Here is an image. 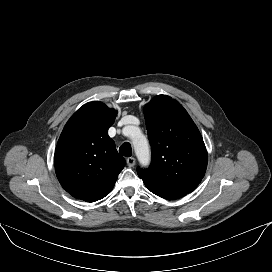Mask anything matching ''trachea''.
Returning a JSON list of instances; mask_svg holds the SVG:
<instances>
[{
	"label": "trachea",
	"mask_w": 272,
	"mask_h": 272,
	"mask_svg": "<svg viewBox=\"0 0 272 272\" xmlns=\"http://www.w3.org/2000/svg\"><path fill=\"white\" fill-rule=\"evenodd\" d=\"M119 153L125 157H130L132 155L130 143L128 142L123 143L119 148Z\"/></svg>",
	"instance_id": "trachea-1"
}]
</instances>
